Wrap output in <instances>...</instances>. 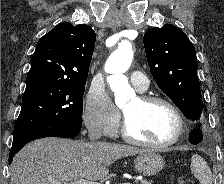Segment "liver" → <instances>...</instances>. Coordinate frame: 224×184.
I'll return each mask as SVG.
<instances>
[{
    "mask_svg": "<svg viewBox=\"0 0 224 184\" xmlns=\"http://www.w3.org/2000/svg\"><path fill=\"white\" fill-rule=\"evenodd\" d=\"M128 145L43 138L23 147L10 166V184L99 181L116 160L146 152Z\"/></svg>",
    "mask_w": 224,
    "mask_h": 184,
    "instance_id": "6515ba94",
    "label": "liver"
}]
</instances>
